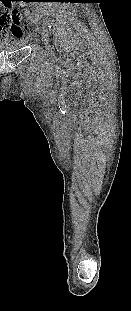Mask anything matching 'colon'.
Listing matches in <instances>:
<instances>
[{
	"instance_id": "obj_1",
	"label": "colon",
	"mask_w": 131,
	"mask_h": 311,
	"mask_svg": "<svg viewBox=\"0 0 131 311\" xmlns=\"http://www.w3.org/2000/svg\"><path fill=\"white\" fill-rule=\"evenodd\" d=\"M18 15V11L17 10H1L0 9V32L4 29H20V31H22V29L27 30H33L36 28V26L34 24L31 23H23L20 24L16 17Z\"/></svg>"
}]
</instances>
